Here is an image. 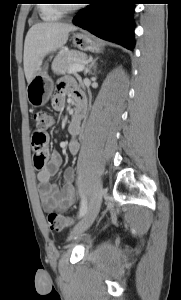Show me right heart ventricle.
<instances>
[{
  "instance_id": "e07e8e85",
  "label": "right heart ventricle",
  "mask_w": 181,
  "mask_h": 300,
  "mask_svg": "<svg viewBox=\"0 0 181 300\" xmlns=\"http://www.w3.org/2000/svg\"><path fill=\"white\" fill-rule=\"evenodd\" d=\"M55 0H42V3L38 6L39 16L43 21L56 22L63 13L58 9Z\"/></svg>"
}]
</instances>
